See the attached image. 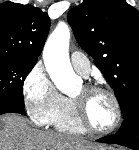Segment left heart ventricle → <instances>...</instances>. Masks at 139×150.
<instances>
[{
    "instance_id": "left-heart-ventricle-1",
    "label": "left heart ventricle",
    "mask_w": 139,
    "mask_h": 150,
    "mask_svg": "<svg viewBox=\"0 0 139 150\" xmlns=\"http://www.w3.org/2000/svg\"><path fill=\"white\" fill-rule=\"evenodd\" d=\"M83 98L86 103L87 117L97 129L109 128L115 120V109L111 98L105 93H86L82 86L74 95Z\"/></svg>"
}]
</instances>
